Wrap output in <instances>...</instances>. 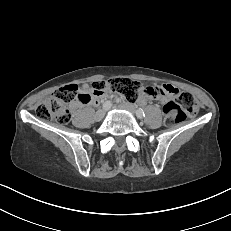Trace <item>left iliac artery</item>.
Instances as JSON below:
<instances>
[{
    "instance_id": "obj_1",
    "label": "left iliac artery",
    "mask_w": 231,
    "mask_h": 231,
    "mask_svg": "<svg viewBox=\"0 0 231 231\" xmlns=\"http://www.w3.org/2000/svg\"><path fill=\"white\" fill-rule=\"evenodd\" d=\"M136 114H137V117L139 118L145 117V112L141 108L137 110Z\"/></svg>"
}]
</instances>
